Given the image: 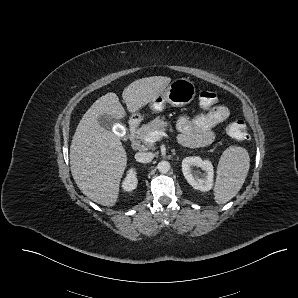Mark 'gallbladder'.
I'll return each mask as SVG.
<instances>
[{"label": "gallbladder", "instance_id": "obj_1", "mask_svg": "<svg viewBox=\"0 0 298 298\" xmlns=\"http://www.w3.org/2000/svg\"><path fill=\"white\" fill-rule=\"evenodd\" d=\"M98 123L101 127L112 130L113 127L118 123V121L108 114L100 115L98 118Z\"/></svg>", "mask_w": 298, "mask_h": 298}]
</instances>
